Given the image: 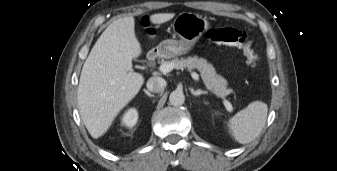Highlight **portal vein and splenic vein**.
I'll return each instance as SVG.
<instances>
[{
  "instance_id": "portal-vein-and-splenic-vein-1",
  "label": "portal vein and splenic vein",
  "mask_w": 337,
  "mask_h": 171,
  "mask_svg": "<svg viewBox=\"0 0 337 171\" xmlns=\"http://www.w3.org/2000/svg\"><path fill=\"white\" fill-rule=\"evenodd\" d=\"M174 68H175V66L172 63L165 62V63L160 65L159 70L162 73H168V72L172 71ZM191 76L195 81H199V75L196 72H192ZM223 103H224L226 109L229 112L233 111V107H232V105L229 101L224 100Z\"/></svg>"
}]
</instances>
